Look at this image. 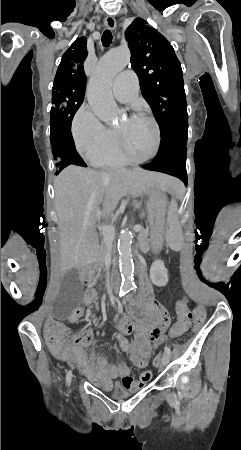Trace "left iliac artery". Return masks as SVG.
<instances>
[{
	"instance_id": "1",
	"label": "left iliac artery",
	"mask_w": 241,
	"mask_h": 450,
	"mask_svg": "<svg viewBox=\"0 0 241 450\" xmlns=\"http://www.w3.org/2000/svg\"><path fill=\"white\" fill-rule=\"evenodd\" d=\"M164 350L169 356L171 355V350L168 346H165Z\"/></svg>"
}]
</instances>
